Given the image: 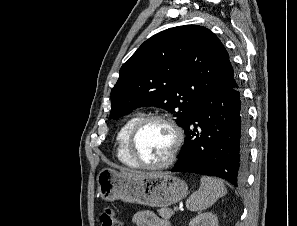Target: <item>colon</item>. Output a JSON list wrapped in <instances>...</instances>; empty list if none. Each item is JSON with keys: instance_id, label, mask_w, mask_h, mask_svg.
I'll use <instances>...</instances> for the list:
<instances>
[{"instance_id": "1", "label": "colon", "mask_w": 297, "mask_h": 226, "mask_svg": "<svg viewBox=\"0 0 297 226\" xmlns=\"http://www.w3.org/2000/svg\"><path fill=\"white\" fill-rule=\"evenodd\" d=\"M100 222L101 226H121V223L115 215V212L109 207L104 208L101 211Z\"/></svg>"}]
</instances>
